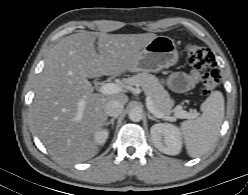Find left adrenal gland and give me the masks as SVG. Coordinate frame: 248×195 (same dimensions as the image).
Segmentation results:
<instances>
[{"mask_svg":"<svg viewBox=\"0 0 248 195\" xmlns=\"http://www.w3.org/2000/svg\"><path fill=\"white\" fill-rule=\"evenodd\" d=\"M148 119H151V120L159 122V120L156 119L154 116H152L150 113H148Z\"/></svg>","mask_w":248,"mask_h":195,"instance_id":"1","label":"left adrenal gland"}]
</instances>
